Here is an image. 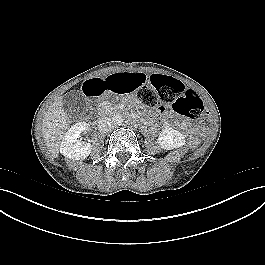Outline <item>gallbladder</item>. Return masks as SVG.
Here are the masks:
<instances>
[{
    "label": "gallbladder",
    "instance_id": "obj_1",
    "mask_svg": "<svg viewBox=\"0 0 265 265\" xmlns=\"http://www.w3.org/2000/svg\"><path fill=\"white\" fill-rule=\"evenodd\" d=\"M62 103L66 114L70 117L81 115L86 108L82 95L77 91L66 93L63 96Z\"/></svg>",
    "mask_w": 265,
    "mask_h": 265
}]
</instances>
